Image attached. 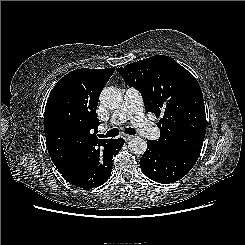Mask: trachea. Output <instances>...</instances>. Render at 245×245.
Listing matches in <instances>:
<instances>
[{
    "label": "trachea",
    "mask_w": 245,
    "mask_h": 245,
    "mask_svg": "<svg viewBox=\"0 0 245 245\" xmlns=\"http://www.w3.org/2000/svg\"><path fill=\"white\" fill-rule=\"evenodd\" d=\"M124 132H125L126 134H129V135H134V134H136V130H135L134 128H131V127L126 128V129L124 130ZM117 135H119V130H118L117 128H113V129L109 130V131L107 132L106 135L99 134L98 137H99V138H104V137L107 138V137H115V136H117Z\"/></svg>",
    "instance_id": "3493384b"
}]
</instances>
